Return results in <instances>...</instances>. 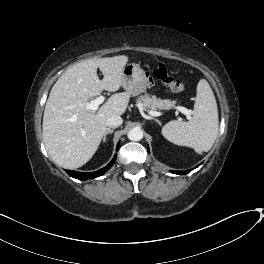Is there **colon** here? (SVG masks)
Listing matches in <instances>:
<instances>
[{"mask_svg":"<svg viewBox=\"0 0 264 264\" xmlns=\"http://www.w3.org/2000/svg\"><path fill=\"white\" fill-rule=\"evenodd\" d=\"M156 77L168 88H170L175 93L183 92L185 86L184 84L170 75L168 68L165 64H159L155 70Z\"/></svg>","mask_w":264,"mask_h":264,"instance_id":"1","label":"colon"}]
</instances>
